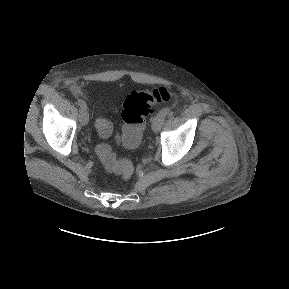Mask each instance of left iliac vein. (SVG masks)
Here are the masks:
<instances>
[{"mask_svg":"<svg viewBox=\"0 0 289 289\" xmlns=\"http://www.w3.org/2000/svg\"><path fill=\"white\" fill-rule=\"evenodd\" d=\"M164 121V116L159 112L153 119L151 123L152 130L157 133Z\"/></svg>","mask_w":289,"mask_h":289,"instance_id":"left-iliac-vein-1","label":"left iliac vein"}]
</instances>
